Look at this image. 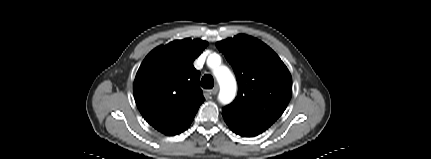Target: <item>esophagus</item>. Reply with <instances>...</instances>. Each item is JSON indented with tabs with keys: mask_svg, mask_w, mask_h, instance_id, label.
Segmentation results:
<instances>
[{
	"mask_svg": "<svg viewBox=\"0 0 431 159\" xmlns=\"http://www.w3.org/2000/svg\"><path fill=\"white\" fill-rule=\"evenodd\" d=\"M219 87L216 85L212 90L209 91V95H216Z\"/></svg>",
	"mask_w": 431,
	"mask_h": 159,
	"instance_id": "esophagus-1",
	"label": "esophagus"
}]
</instances>
